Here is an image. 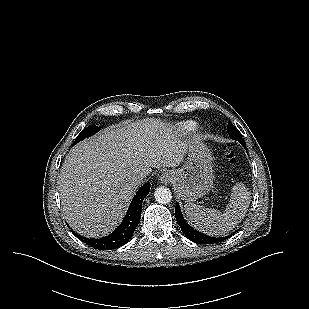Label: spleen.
Masks as SVG:
<instances>
[{"label":"spleen","instance_id":"spleen-1","mask_svg":"<svg viewBox=\"0 0 309 309\" xmlns=\"http://www.w3.org/2000/svg\"><path fill=\"white\" fill-rule=\"evenodd\" d=\"M250 192L243 183L232 188L230 201L225 212L186 203L185 213L189 222L199 231L211 236H220L233 230L245 217L250 204Z\"/></svg>","mask_w":309,"mask_h":309}]
</instances>
